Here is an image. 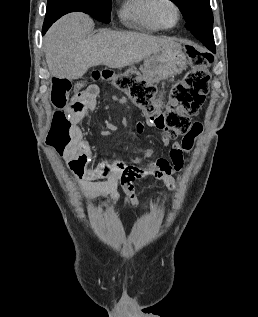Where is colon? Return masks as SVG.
Wrapping results in <instances>:
<instances>
[{
    "label": "colon",
    "instance_id": "1",
    "mask_svg": "<svg viewBox=\"0 0 258 317\" xmlns=\"http://www.w3.org/2000/svg\"><path fill=\"white\" fill-rule=\"evenodd\" d=\"M187 53L192 61L193 70L172 88L166 102L156 97V91L152 86L140 81L136 75L129 72L117 73L111 69L93 70L90 79L110 81L118 90L125 92L161 132L168 138H176L189 131L190 117L205 99L210 79L208 70L213 62V55L210 52L189 47ZM83 85L84 82H80L77 88L81 89ZM71 89L72 84L68 79H54L51 102L57 110L53 113L47 140L58 151L68 147L75 135L74 119L65 109Z\"/></svg>",
    "mask_w": 258,
    "mask_h": 317
}]
</instances>
